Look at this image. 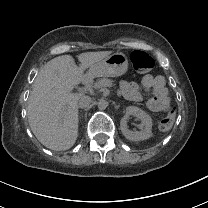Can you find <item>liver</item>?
Wrapping results in <instances>:
<instances>
[{
    "label": "liver",
    "instance_id": "obj_1",
    "mask_svg": "<svg viewBox=\"0 0 208 208\" xmlns=\"http://www.w3.org/2000/svg\"><path fill=\"white\" fill-rule=\"evenodd\" d=\"M113 53L109 51L78 54L79 68L72 55H60L39 71L30 92L27 116L38 141L54 151L70 149L78 138V100L72 94L85 78V72Z\"/></svg>",
    "mask_w": 208,
    "mask_h": 208
}]
</instances>
